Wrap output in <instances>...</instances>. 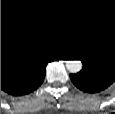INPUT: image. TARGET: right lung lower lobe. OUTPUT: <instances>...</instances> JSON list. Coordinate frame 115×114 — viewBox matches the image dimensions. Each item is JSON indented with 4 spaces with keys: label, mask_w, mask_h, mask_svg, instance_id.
Wrapping results in <instances>:
<instances>
[{
    "label": "right lung lower lobe",
    "mask_w": 115,
    "mask_h": 114,
    "mask_svg": "<svg viewBox=\"0 0 115 114\" xmlns=\"http://www.w3.org/2000/svg\"><path fill=\"white\" fill-rule=\"evenodd\" d=\"M49 61L40 58L20 66H1V89L14 96L31 93L42 84Z\"/></svg>",
    "instance_id": "obj_1"
}]
</instances>
